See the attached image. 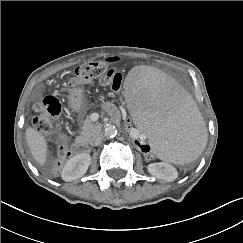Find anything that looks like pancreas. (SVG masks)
Segmentation results:
<instances>
[{"instance_id": "obj_1", "label": "pancreas", "mask_w": 243, "mask_h": 243, "mask_svg": "<svg viewBox=\"0 0 243 243\" xmlns=\"http://www.w3.org/2000/svg\"><path fill=\"white\" fill-rule=\"evenodd\" d=\"M100 131L101 127L97 124H93L89 117H86L81 134L77 137V140L85 143H91L93 138L98 135Z\"/></svg>"}]
</instances>
